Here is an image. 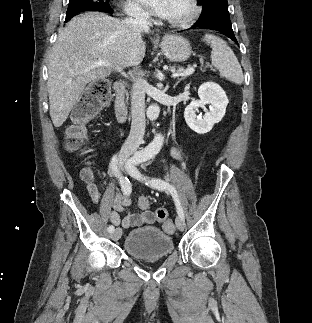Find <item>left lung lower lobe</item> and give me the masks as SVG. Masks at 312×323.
<instances>
[{"instance_id":"obj_1","label":"left lung lower lobe","mask_w":312,"mask_h":323,"mask_svg":"<svg viewBox=\"0 0 312 323\" xmlns=\"http://www.w3.org/2000/svg\"><path fill=\"white\" fill-rule=\"evenodd\" d=\"M192 28L215 30V31H218V32L222 33L223 35L231 38L233 41H235L237 43L236 37H235L234 32L232 30L231 21L220 20L217 23L206 24L203 26L194 25V26H192Z\"/></svg>"}]
</instances>
